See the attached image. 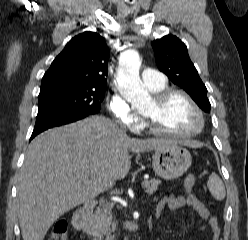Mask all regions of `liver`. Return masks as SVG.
Listing matches in <instances>:
<instances>
[{"mask_svg":"<svg viewBox=\"0 0 248 240\" xmlns=\"http://www.w3.org/2000/svg\"><path fill=\"white\" fill-rule=\"evenodd\" d=\"M173 144L129 138L103 116L38 135L28 147L18 178L17 213L23 240H43L60 216L124 179L131 167L129 151Z\"/></svg>","mask_w":248,"mask_h":240,"instance_id":"1","label":"liver"}]
</instances>
